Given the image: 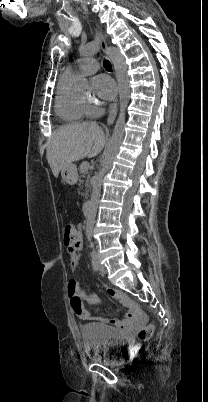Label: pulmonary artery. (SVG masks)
Listing matches in <instances>:
<instances>
[{"label":"pulmonary artery","instance_id":"obj_1","mask_svg":"<svg viewBox=\"0 0 208 402\" xmlns=\"http://www.w3.org/2000/svg\"><path fill=\"white\" fill-rule=\"evenodd\" d=\"M85 55L89 56L92 53L84 50ZM99 69L98 62L91 60L88 57H83L77 59L73 64H70L66 67V72L76 76L79 73L83 75L93 74L96 70Z\"/></svg>","mask_w":208,"mask_h":402}]
</instances>
